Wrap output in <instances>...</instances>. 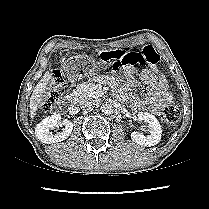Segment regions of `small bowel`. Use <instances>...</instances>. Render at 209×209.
<instances>
[{"instance_id": "c3829d8e", "label": "small bowel", "mask_w": 209, "mask_h": 209, "mask_svg": "<svg viewBox=\"0 0 209 209\" xmlns=\"http://www.w3.org/2000/svg\"><path fill=\"white\" fill-rule=\"evenodd\" d=\"M125 76L128 78L126 87L133 86L132 79L138 76V69L135 66H128L125 69ZM141 81L147 87V95L144 98L136 97L132 100V107L135 111H150L155 115H160L172 102V95L168 92L167 83L164 76L160 73L143 69L140 73ZM107 82L113 84V78L107 77ZM118 97L125 96L124 90L116 89Z\"/></svg>"}]
</instances>
